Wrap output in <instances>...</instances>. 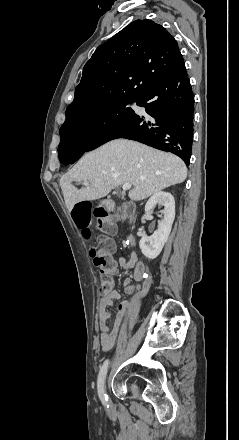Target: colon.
<instances>
[{"mask_svg":"<svg viewBox=\"0 0 239 440\" xmlns=\"http://www.w3.org/2000/svg\"><path fill=\"white\" fill-rule=\"evenodd\" d=\"M132 204H125L117 213H111L105 208H96L92 211L89 203H79L73 209V219L76 226L82 230L83 236L87 241L93 239V232L90 229L92 217L96 220V225L104 234H111L116 227V223L132 213ZM97 248L90 249V256L94 265L99 269L105 280L102 284V291L109 287L112 277L117 272V262L113 256L114 245L105 235L98 238Z\"/></svg>","mask_w":239,"mask_h":440,"instance_id":"5ec220e1","label":"colon"}]
</instances>
